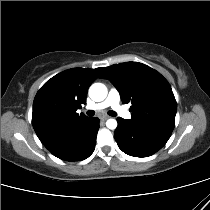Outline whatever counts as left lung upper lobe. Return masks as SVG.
Masks as SVG:
<instances>
[{
  "label": "left lung upper lobe",
  "mask_w": 210,
  "mask_h": 210,
  "mask_svg": "<svg viewBox=\"0 0 210 210\" xmlns=\"http://www.w3.org/2000/svg\"><path fill=\"white\" fill-rule=\"evenodd\" d=\"M100 78L110 80L124 104L131 103L133 126L172 133L177 104L167 80L151 67L126 62L103 68Z\"/></svg>",
  "instance_id": "5c2ea615"
}]
</instances>
